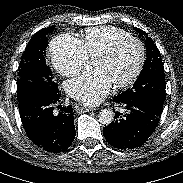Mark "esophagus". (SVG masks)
Instances as JSON below:
<instances>
[{
  "label": "esophagus",
  "mask_w": 183,
  "mask_h": 183,
  "mask_svg": "<svg viewBox=\"0 0 183 183\" xmlns=\"http://www.w3.org/2000/svg\"><path fill=\"white\" fill-rule=\"evenodd\" d=\"M75 110L78 113H82V112H89V111H93L95 110L93 107H87V106H83L82 104H76L75 105Z\"/></svg>",
  "instance_id": "1"
}]
</instances>
